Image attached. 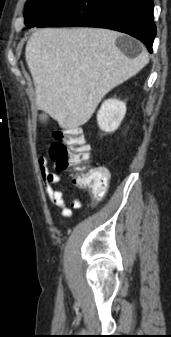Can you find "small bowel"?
I'll return each instance as SVG.
<instances>
[{"label": "small bowel", "instance_id": "1", "mask_svg": "<svg viewBox=\"0 0 171 337\" xmlns=\"http://www.w3.org/2000/svg\"><path fill=\"white\" fill-rule=\"evenodd\" d=\"M39 173L43 182V187L46 192L49 202L60 209L64 218L69 219L72 217V209L78 210L82 207L81 199L75 195L71 202L70 207L67 206L63 192L56 188L62 181L60 174L51 172L48 169V158L40 155L37 160ZM80 170V169H78Z\"/></svg>", "mask_w": 171, "mask_h": 337}]
</instances>
